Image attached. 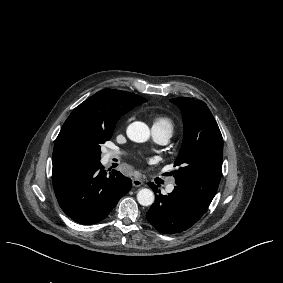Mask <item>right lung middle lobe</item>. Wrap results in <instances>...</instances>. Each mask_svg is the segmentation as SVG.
<instances>
[{
	"label": "right lung middle lobe",
	"mask_w": 283,
	"mask_h": 283,
	"mask_svg": "<svg viewBox=\"0 0 283 283\" xmlns=\"http://www.w3.org/2000/svg\"><path fill=\"white\" fill-rule=\"evenodd\" d=\"M112 134L113 130H99L91 136L89 145L96 163H99L101 159L100 145L104 144L107 140H110Z\"/></svg>",
	"instance_id": "obj_1"
}]
</instances>
